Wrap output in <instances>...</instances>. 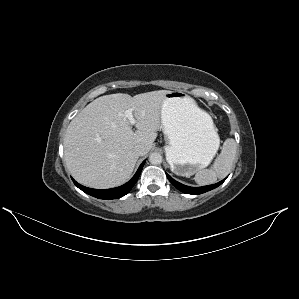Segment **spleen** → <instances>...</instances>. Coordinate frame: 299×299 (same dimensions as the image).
I'll list each match as a JSON object with an SVG mask.
<instances>
[{
    "label": "spleen",
    "mask_w": 299,
    "mask_h": 299,
    "mask_svg": "<svg viewBox=\"0 0 299 299\" xmlns=\"http://www.w3.org/2000/svg\"><path fill=\"white\" fill-rule=\"evenodd\" d=\"M236 150L235 140L232 138L226 139L221 153L214 161L213 167L198 171L194 177L195 182L199 185H209L215 183L218 178L226 177L233 166Z\"/></svg>",
    "instance_id": "3e777b00"
}]
</instances>
